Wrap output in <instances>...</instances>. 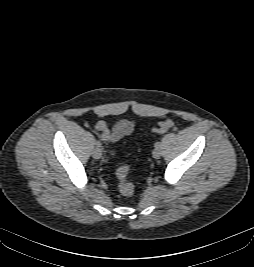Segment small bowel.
Wrapping results in <instances>:
<instances>
[{
	"label": "small bowel",
	"instance_id": "small-bowel-1",
	"mask_svg": "<svg viewBox=\"0 0 254 267\" xmlns=\"http://www.w3.org/2000/svg\"><path fill=\"white\" fill-rule=\"evenodd\" d=\"M134 127L135 124L131 120H121L112 129H109L104 121H98L94 125V130L100 133L103 141L114 143L130 135Z\"/></svg>",
	"mask_w": 254,
	"mask_h": 267
}]
</instances>
